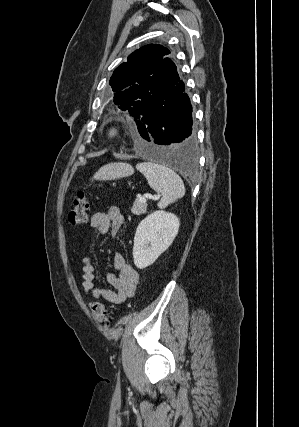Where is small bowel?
<instances>
[{"mask_svg": "<svg viewBox=\"0 0 299 427\" xmlns=\"http://www.w3.org/2000/svg\"><path fill=\"white\" fill-rule=\"evenodd\" d=\"M124 224V217L120 210L112 206L106 212H96L91 216L90 226L99 233L110 231L113 236L118 235ZM114 264L117 273H109L106 277L113 289L99 288L94 285V266L90 257L82 259L83 281L82 288L85 296L91 295L94 299L103 300L112 304H121L134 295L139 282L138 272L120 254H115Z\"/></svg>", "mask_w": 299, "mask_h": 427, "instance_id": "c3829d8e", "label": "small bowel"}]
</instances>
